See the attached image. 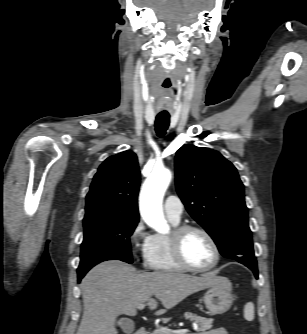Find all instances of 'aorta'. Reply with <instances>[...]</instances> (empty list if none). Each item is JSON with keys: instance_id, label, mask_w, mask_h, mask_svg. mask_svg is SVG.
Masks as SVG:
<instances>
[{"instance_id": "obj_1", "label": "aorta", "mask_w": 307, "mask_h": 334, "mask_svg": "<svg viewBox=\"0 0 307 334\" xmlns=\"http://www.w3.org/2000/svg\"><path fill=\"white\" fill-rule=\"evenodd\" d=\"M171 172L166 168L154 169L140 192L139 208L145 223L158 233H168L169 225L165 220L162 201L171 182Z\"/></svg>"}]
</instances>
